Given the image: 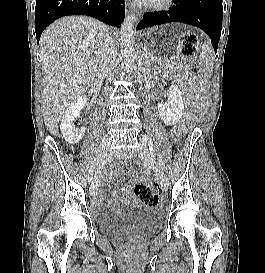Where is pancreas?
<instances>
[{
    "instance_id": "cf45deb5",
    "label": "pancreas",
    "mask_w": 265,
    "mask_h": 273,
    "mask_svg": "<svg viewBox=\"0 0 265 273\" xmlns=\"http://www.w3.org/2000/svg\"><path fill=\"white\" fill-rule=\"evenodd\" d=\"M171 62L173 61L167 57L159 59V58L153 57L152 55H150V58L145 61L146 65L149 67H151L153 64H156V63H159L161 65H168Z\"/></svg>"
}]
</instances>
